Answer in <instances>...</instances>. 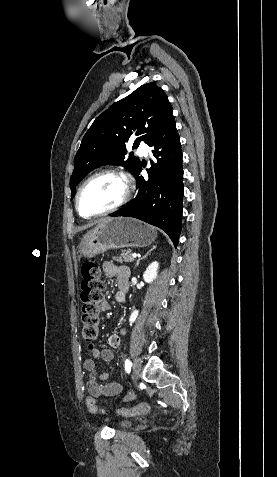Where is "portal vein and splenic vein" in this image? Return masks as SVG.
Returning a JSON list of instances; mask_svg holds the SVG:
<instances>
[{"mask_svg":"<svg viewBox=\"0 0 277 477\" xmlns=\"http://www.w3.org/2000/svg\"><path fill=\"white\" fill-rule=\"evenodd\" d=\"M132 257H133V258H136V257H137V254H136V253H132Z\"/></svg>","mask_w":277,"mask_h":477,"instance_id":"portal-vein-and-splenic-vein-1","label":"portal vein and splenic vein"}]
</instances>
